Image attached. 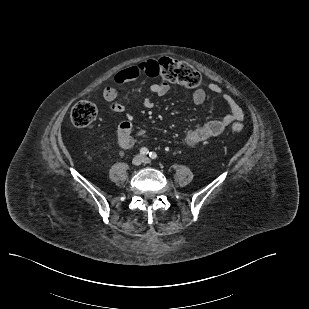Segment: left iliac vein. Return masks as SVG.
Listing matches in <instances>:
<instances>
[{"label":"left iliac vein","mask_w":309,"mask_h":309,"mask_svg":"<svg viewBox=\"0 0 309 309\" xmlns=\"http://www.w3.org/2000/svg\"><path fill=\"white\" fill-rule=\"evenodd\" d=\"M143 162H144L145 164H148V163L150 162V160H149L147 157H143Z\"/></svg>","instance_id":"left-iliac-vein-1"}]
</instances>
